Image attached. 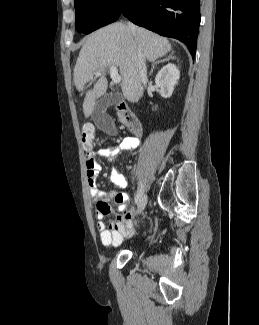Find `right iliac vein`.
I'll return each instance as SVG.
<instances>
[{
	"label": "right iliac vein",
	"instance_id": "right-iliac-vein-1",
	"mask_svg": "<svg viewBox=\"0 0 259 325\" xmlns=\"http://www.w3.org/2000/svg\"><path fill=\"white\" fill-rule=\"evenodd\" d=\"M146 204H147V196L143 191V193L141 194V196L137 202V211L139 214L144 211Z\"/></svg>",
	"mask_w": 259,
	"mask_h": 325
}]
</instances>
